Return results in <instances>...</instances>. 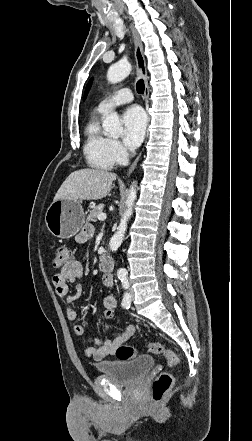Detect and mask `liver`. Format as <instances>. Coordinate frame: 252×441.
<instances>
[{
    "label": "liver",
    "mask_w": 252,
    "mask_h": 441,
    "mask_svg": "<svg viewBox=\"0 0 252 441\" xmlns=\"http://www.w3.org/2000/svg\"><path fill=\"white\" fill-rule=\"evenodd\" d=\"M115 173L101 169H80L72 172L60 186L54 200H100L112 189Z\"/></svg>",
    "instance_id": "1"
}]
</instances>
